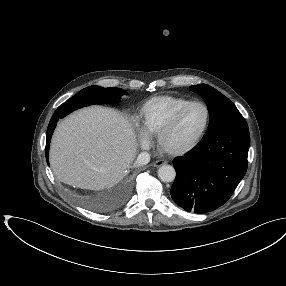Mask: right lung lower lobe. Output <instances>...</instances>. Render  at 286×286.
<instances>
[{"mask_svg":"<svg viewBox=\"0 0 286 286\" xmlns=\"http://www.w3.org/2000/svg\"><path fill=\"white\" fill-rule=\"evenodd\" d=\"M61 118L57 113H54L50 122H49V126L47 128V134H46V159H47V163L49 165V161H48V151H49V145H50V140H51V136L53 133L54 128L56 127L57 121L58 119Z\"/></svg>","mask_w":286,"mask_h":286,"instance_id":"obj_1","label":"right lung lower lobe"}]
</instances>
